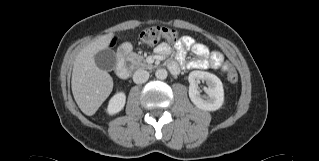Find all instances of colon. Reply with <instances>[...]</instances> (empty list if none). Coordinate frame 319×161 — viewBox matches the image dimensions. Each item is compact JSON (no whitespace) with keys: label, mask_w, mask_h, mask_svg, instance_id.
<instances>
[{"label":"colon","mask_w":319,"mask_h":161,"mask_svg":"<svg viewBox=\"0 0 319 161\" xmlns=\"http://www.w3.org/2000/svg\"><path fill=\"white\" fill-rule=\"evenodd\" d=\"M141 39L147 44H157L160 41H169L173 43L179 42V33L175 29L162 27V26H153L145 29L141 33ZM212 68H217L216 64L212 65ZM228 79L232 84L237 83L238 75L235 71L229 70L227 72Z\"/></svg>","instance_id":"colon-1"}]
</instances>
